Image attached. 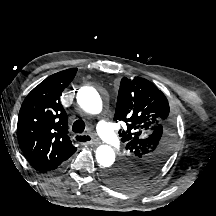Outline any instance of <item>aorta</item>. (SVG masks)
I'll return each instance as SVG.
<instances>
[{"instance_id":"762f6f07","label":"aorta","mask_w":216,"mask_h":216,"mask_svg":"<svg viewBox=\"0 0 216 216\" xmlns=\"http://www.w3.org/2000/svg\"><path fill=\"white\" fill-rule=\"evenodd\" d=\"M77 103L86 112L99 114L102 111V100L92 87H82L77 93ZM96 160L103 168H109L115 161V153L111 146L100 145L96 149Z\"/></svg>"}]
</instances>
